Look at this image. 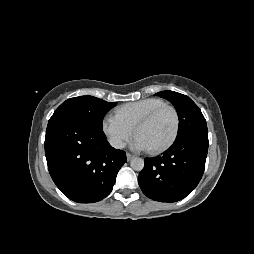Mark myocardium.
<instances>
[{
  "label": "myocardium",
  "instance_id": "1",
  "mask_svg": "<svg viewBox=\"0 0 254 254\" xmlns=\"http://www.w3.org/2000/svg\"><path fill=\"white\" fill-rule=\"evenodd\" d=\"M170 109L174 115V128L172 131L171 136L169 137V139L164 142L162 145L156 147V148H152V149H148L150 153L152 154H157L160 152L165 151L166 149H168L173 142L175 141L177 135H178V131H179V125H180V119H179V113L177 111V109L168 103H164L156 108H154L152 111H150L147 115H145L135 126L134 131L135 134H137L138 130L145 126L146 124H148L160 111H162L163 109Z\"/></svg>",
  "mask_w": 254,
  "mask_h": 254
}]
</instances>
